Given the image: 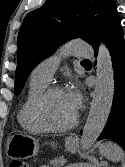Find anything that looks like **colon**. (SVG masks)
I'll return each mask as SVG.
<instances>
[{
	"label": "colon",
	"mask_w": 125,
	"mask_h": 167,
	"mask_svg": "<svg viewBox=\"0 0 125 167\" xmlns=\"http://www.w3.org/2000/svg\"><path fill=\"white\" fill-rule=\"evenodd\" d=\"M8 167H29L28 164L21 160H11Z\"/></svg>",
	"instance_id": "5ec220e1"
}]
</instances>
